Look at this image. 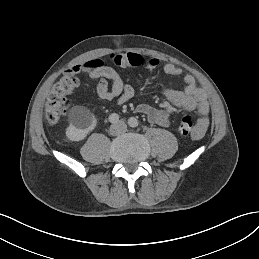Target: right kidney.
Instances as JSON below:
<instances>
[{"instance_id":"obj_1","label":"right kidney","mask_w":259,"mask_h":259,"mask_svg":"<svg viewBox=\"0 0 259 259\" xmlns=\"http://www.w3.org/2000/svg\"><path fill=\"white\" fill-rule=\"evenodd\" d=\"M69 122L70 124L65 130V136L70 142L84 140L88 133L98 125L95 115L83 106H75L70 110Z\"/></svg>"}]
</instances>
